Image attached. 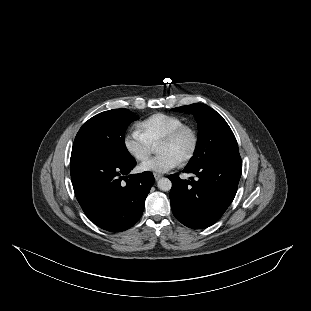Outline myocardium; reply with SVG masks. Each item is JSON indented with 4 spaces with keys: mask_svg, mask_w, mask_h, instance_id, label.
<instances>
[{
    "mask_svg": "<svg viewBox=\"0 0 311 311\" xmlns=\"http://www.w3.org/2000/svg\"><path fill=\"white\" fill-rule=\"evenodd\" d=\"M191 132L193 135V146L190 152L181 160L182 164H189L198 154L200 144H201V133L198 126L192 122H184L178 127L170 131L165 137H163L159 144L161 143H175L185 132Z\"/></svg>",
    "mask_w": 311,
    "mask_h": 311,
    "instance_id": "myocardium-1",
    "label": "myocardium"
}]
</instances>
